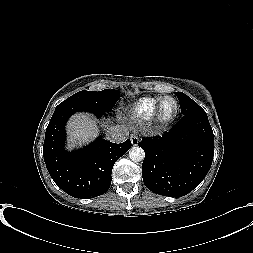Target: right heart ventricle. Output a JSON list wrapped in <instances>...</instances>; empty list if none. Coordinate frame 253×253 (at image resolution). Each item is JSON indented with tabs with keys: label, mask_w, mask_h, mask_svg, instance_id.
Wrapping results in <instances>:
<instances>
[{
	"label": "right heart ventricle",
	"mask_w": 253,
	"mask_h": 253,
	"mask_svg": "<svg viewBox=\"0 0 253 253\" xmlns=\"http://www.w3.org/2000/svg\"><path fill=\"white\" fill-rule=\"evenodd\" d=\"M161 97H144L135 102L130 109L131 116L138 122L152 119L156 105Z\"/></svg>",
	"instance_id": "1"
}]
</instances>
